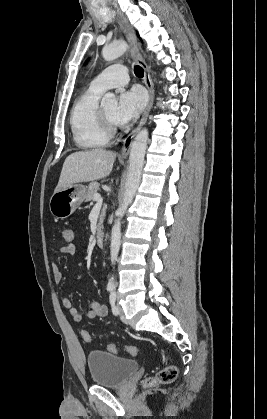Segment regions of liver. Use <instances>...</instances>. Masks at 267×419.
Listing matches in <instances>:
<instances>
[{"mask_svg":"<svg viewBox=\"0 0 267 419\" xmlns=\"http://www.w3.org/2000/svg\"><path fill=\"white\" fill-rule=\"evenodd\" d=\"M116 153L96 148L70 154L64 161L55 192L64 190L72 184L99 180L109 176Z\"/></svg>","mask_w":267,"mask_h":419,"instance_id":"6515ba94","label":"liver"}]
</instances>
